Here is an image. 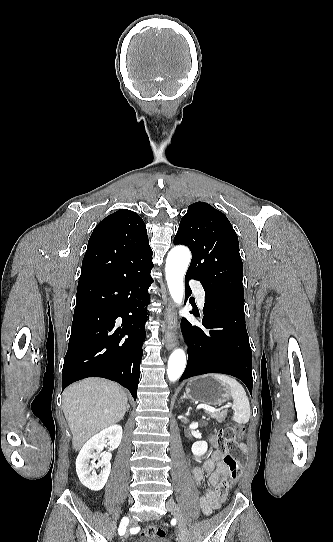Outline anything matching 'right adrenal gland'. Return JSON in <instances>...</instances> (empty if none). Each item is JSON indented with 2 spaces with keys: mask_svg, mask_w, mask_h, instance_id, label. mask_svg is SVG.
<instances>
[{
  "mask_svg": "<svg viewBox=\"0 0 333 542\" xmlns=\"http://www.w3.org/2000/svg\"><path fill=\"white\" fill-rule=\"evenodd\" d=\"M127 408H130L129 404H127Z\"/></svg>",
  "mask_w": 333,
  "mask_h": 542,
  "instance_id": "right-adrenal-gland-1",
  "label": "right adrenal gland"
}]
</instances>
